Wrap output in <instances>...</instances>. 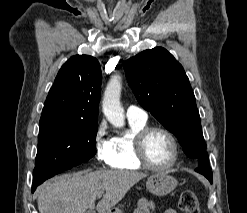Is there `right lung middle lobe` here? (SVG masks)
<instances>
[{
    "instance_id": "right-lung-middle-lobe-1",
    "label": "right lung middle lobe",
    "mask_w": 247,
    "mask_h": 213,
    "mask_svg": "<svg viewBox=\"0 0 247 213\" xmlns=\"http://www.w3.org/2000/svg\"><path fill=\"white\" fill-rule=\"evenodd\" d=\"M98 124L68 121L40 123L33 184L83 163L96 153Z\"/></svg>"
}]
</instances>
